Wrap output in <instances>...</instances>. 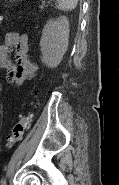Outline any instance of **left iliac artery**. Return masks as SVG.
<instances>
[{
  "mask_svg": "<svg viewBox=\"0 0 119 185\" xmlns=\"http://www.w3.org/2000/svg\"><path fill=\"white\" fill-rule=\"evenodd\" d=\"M7 183H6V178H3L2 180H1V185H6Z\"/></svg>",
  "mask_w": 119,
  "mask_h": 185,
  "instance_id": "44dca946",
  "label": "left iliac artery"
}]
</instances>
